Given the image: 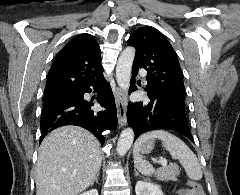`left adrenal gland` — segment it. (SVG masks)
I'll return each mask as SVG.
<instances>
[{
  "mask_svg": "<svg viewBox=\"0 0 240 195\" xmlns=\"http://www.w3.org/2000/svg\"><path fill=\"white\" fill-rule=\"evenodd\" d=\"M135 171V175H139L138 171H136V169H134ZM141 177H143V175H141Z\"/></svg>",
  "mask_w": 240,
  "mask_h": 195,
  "instance_id": "obj_1",
  "label": "left adrenal gland"
}]
</instances>
